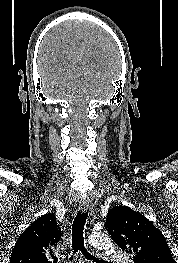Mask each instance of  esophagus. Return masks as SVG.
Segmentation results:
<instances>
[{"instance_id": "1", "label": "esophagus", "mask_w": 178, "mask_h": 263, "mask_svg": "<svg viewBox=\"0 0 178 263\" xmlns=\"http://www.w3.org/2000/svg\"><path fill=\"white\" fill-rule=\"evenodd\" d=\"M80 209L82 212H86V211H90L92 212L93 211V207H92V203L90 201L89 198H83L81 201H80Z\"/></svg>"}]
</instances>
